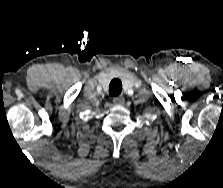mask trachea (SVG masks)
<instances>
[{
	"instance_id": "trachea-1",
	"label": "trachea",
	"mask_w": 223,
	"mask_h": 188,
	"mask_svg": "<svg viewBox=\"0 0 223 188\" xmlns=\"http://www.w3.org/2000/svg\"><path fill=\"white\" fill-rule=\"evenodd\" d=\"M122 92V82L119 79H113L109 85L110 96H118Z\"/></svg>"
}]
</instances>
